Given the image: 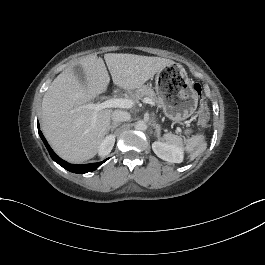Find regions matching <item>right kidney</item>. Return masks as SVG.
<instances>
[{"label": "right kidney", "instance_id": "obj_1", "mask_svg": "<svg viewBox=\"0 0 265 265\" xmlns=\"http://www.w3.org/2000/svg\"><path fill=\"white\" fill-rule=\"evenodd\" d=\"M114 143H115L114 136L111 135V136L107 137L102 142V145H101V148H100V154L102 156L109 154L111 152L113 146H114Z\"/></svg>", "mask_w": 265, "mask_h": 265}]
</instances>
